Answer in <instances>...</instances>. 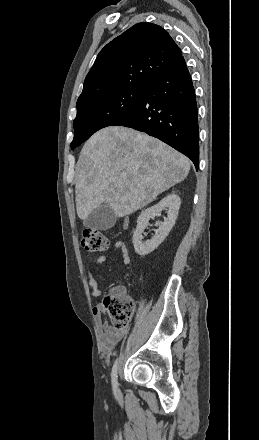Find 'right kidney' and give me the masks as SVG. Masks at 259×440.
<instances>
[{"instance_id": "obj_1", "label": "right kidney", "mask_w": 259, "mask_h": 440, "mask_svg": "<svg viewBox=\"0 0 259 440\" xmlns=\"http://www.w3.org/2000/svg\"><path fill=\"white\" fill-rule=\"evenodd\" d=\"M180 205V197L172 193L163 198L158 204L141 212L137 219V227L132 237L134 249L137 254L140 256L148 255L164 241L175 224ZM164 209H167V218L164 219V222L157 223L159 228L150 240L142 242V233L148 226L149 220L159 216Z\"/></svg>"}]
</instances>
